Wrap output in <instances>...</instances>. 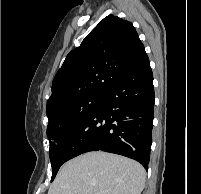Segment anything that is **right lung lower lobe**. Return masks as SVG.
Wrapping results in <instances>:
<instances>
[{
	"mask_svg": "<svg viewBox=\"0 0 201 194\" xmlns=\"http://www.w3.org/2000/svg\"><path fill=\"white\" fill-rule=\"evenodd\" d=\"M154 112L153 75L146 57L112 86L97 108L62 140L61 166L80 154L102 150L129 157L148 169Z\"/></svg>",
	"mask_w": 201,
	"mask_h": 194,
	"instance_id": "1",
	"label": "right lung lower lobe"
}]
</instances>
